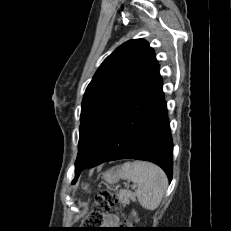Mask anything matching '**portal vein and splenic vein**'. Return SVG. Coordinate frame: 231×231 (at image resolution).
<instances>
[{
    "label": "portal vein and splenic vein",
    "mask_w": 231,
    "mask_h": 231,
    "mask_svg": "<svg viewBox=\"0 0 231 231\" xmlns=\"http://www.w3.org/2000/svg\"><path fill=\"white\" fill-rule=\"evenodd\" d=\"M131 187H132V188H135L136 186H135V185H132Z\"/></svg>",
    "instance_id": "18ae733b"
}]
</instances>
